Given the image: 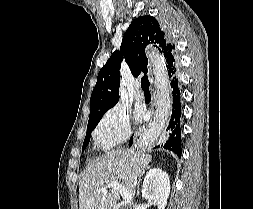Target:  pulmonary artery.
Returning a JSON list of instances; mask_svg holds the SVG:
<instances>
[{
  "label": "pulmonary artery",
  "instance_id": "e3ab8cb5",
  "mask_svg": "<svg viewBox=\"0 0 253 209\" xmlns=\"http://www.w3.org/2000/svg\"><path fill=\"white\" fill-rule=\"evenodd\" d=\"M135 88H136V89H135V92H134L135 98H136L137 100H139V101L144 100L145 95H144L143 91L140 89V86L137 84V85L135 86Z\"/></svg>",
  "mask_w": 253,
  "mask_h": 209
}]
</instances>
